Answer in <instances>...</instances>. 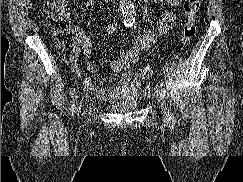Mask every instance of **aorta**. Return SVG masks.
Segmentation results:
<instances>
[{"label": "aorta", "mask_w": 243, "mask_h": 182, "mask_svg": "<svg viewBox=\"0 0 243 182\" xmlns=\"http://www.w3.org/2000/svg\"><path fill=\"white\" fill-rule=\"evenodd\" d=\"M120 8L125 21H132L135 19V9L133 0H120Z\"/></svg>", "instance_id": "762f6f07"}]
</instances>
